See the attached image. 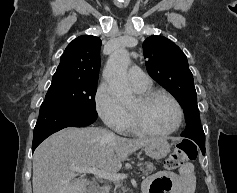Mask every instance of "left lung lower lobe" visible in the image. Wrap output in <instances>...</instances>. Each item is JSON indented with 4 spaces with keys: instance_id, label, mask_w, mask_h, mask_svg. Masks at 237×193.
Returning <instances> with one entry per match:
<instances>
[{
    "instance_id": "1",
    "label": "left lung lower lobe",
    "mask_w": 237,
    "mask_h": 193,
    "mask_svg": "<svg viewBox=\"0 0 237 193\" xmlns=\"http://www.w3.org/2000/svg\"><path fill=\"white\" fill-rule=\"evenodd\" d=\"M201 151H202V154L205 155V146H199Z\"/></svg>"
}]
</instances>
